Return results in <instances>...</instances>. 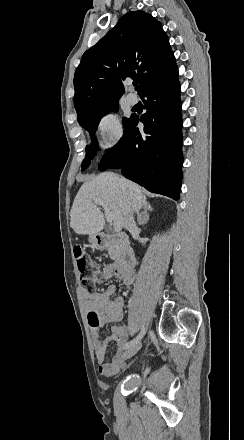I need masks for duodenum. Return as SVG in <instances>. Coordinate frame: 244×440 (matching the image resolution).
Segmentation results:
<instances>
[{
  "label": "duodenum",
  "instance_id": "obj_1",
  "mask_svg": "<svg viewBox=\"0 0 244 440\" xmlns=\"http://www.w3.org/2000/svg\"><path fill=\"white\" fill-rule=\"evenodd\" d=\"M93 242L103 250L115 248L119 252L120 264L128 269L134 270L137 265L135 253L129 249V243L124 235H111L109 233H97Z\"/></svg>",
  "mask_w": 244,
  "mask_h": 440
}]
</instances>
